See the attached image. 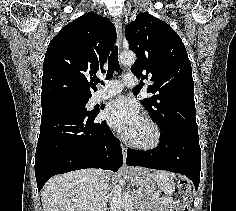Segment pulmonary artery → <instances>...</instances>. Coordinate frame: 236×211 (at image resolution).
Instances as JSON below:
<instances>
[{
    "instance_id": "e3ab8cb5",
    "label": "pulmonary artery",
    "mask_w": 236,
    "mask_h": 211,
    "mask_svg": "<svg viewBox=\"0 0 236 211\" xmlns=\"http://www.w3.org/2000/svg\"><path fill=\"white\" fill-rule=\"evenodd\" d=\"M138 78L134 74L127 73L121 80H112L104 83V86L92 96V102H100L118 94L123 86L134 87L138 85Z\"/></svg>"
}]
</instances>
